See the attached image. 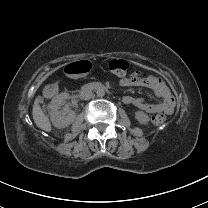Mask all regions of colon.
Segmentation results:
<instances>
[{
    "instance_id": "1",
    "label": "colon",
    "mask_w": 208,
    "mask_h": 208,
    "mask_svg": "<svg viewBox=\"0 0 208 208\" xmlns=\"http://www.w3.org/2000/svg\"><path fill=\"white\" fill-rule=\"evenodd\" d=\"M128 63L123 59H114L109 63V70L117 75H124L127 71ZM92 70V65L88 61H82L80 63L69 64L65 67V73L69 77L82 76L84 74L90 73ZM166 121V117L159 114L152 118V124L154 126H162Z\"/></svg>"
}]
</instances>
